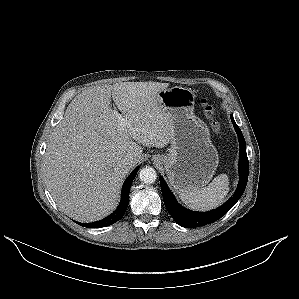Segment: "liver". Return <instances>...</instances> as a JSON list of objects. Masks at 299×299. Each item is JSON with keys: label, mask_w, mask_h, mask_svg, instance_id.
<instances>
[{"label": "liver", "mask_w": 299, "mask_h": 299, "mask_svg": "<svg viewBox=\"0 0 299 299\" xmlns=\"http://www.w3.org/2000/svg\"><path fill=\"white\" fill-rule=\"evenodd\" d=\"M168 83L122 82L89 88L68 105L49 137L43 172L58 207L69 217L93 222L117 206L127 174L140 161L143 146L171 142V118L158 93ZM111 96L126 120L122 127ZM133 156L124 165L126 155Z\"/></svg>", "instance_id": "1"}]
</instances>
